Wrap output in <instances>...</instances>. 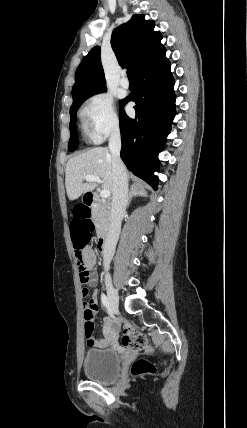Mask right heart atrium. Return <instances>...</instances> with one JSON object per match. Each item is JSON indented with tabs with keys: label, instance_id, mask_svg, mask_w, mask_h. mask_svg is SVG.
Wrapping results in <instances>:
<instances>
[{
	"label": "right heart atrium",
	"instance_id": "right-heart-atrium-1",
	"mask_svg": "<svg viewBox=\"0 0 247 428\" xmlns=\"http://www.w3.org/2000/svg\"><path fill=\"white\" fill-rule=\"evenodd\" d=\"M84 114L88 133L94 141H102L119 129V117L113 97L105 92L93 95L86 103Z\"/></svg>",
	"mask_w": 247,
	"mask_h": 428
}]
</instances>
